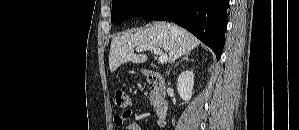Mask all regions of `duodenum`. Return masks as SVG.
I'll return each instance as SVG.
<instances>
[{
  "mask_svg": "<svg viewBox=\"0 0 299 130\" xmlns=\"http://www.w3.org/2000/svg\"><path fill=\"white\" fill-rule=\"evenodd\" d=\"M142 73L154 85L152 91L154 108L158 118V122L160 125H162L169 111L166 84L162 77L155 72H152L150 70H143Z\"/></svg>",
  "mask_w": 299,
  "mask_h": 130,
  "instance_id": "1",
  "label": "duodenum"
}]
</instances>
